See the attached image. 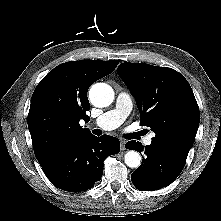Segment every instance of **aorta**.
<instances>
[{"mask_svg": "<svg viewBox=\"0 0 221 221\" xmlns=\"http://www.w3.org/2000/svg\"><path fill=\"white\" fill-rule=\"evenodd\" d=\"M89 99L96 107H107L113 102V89L108 84L96 83L89 91ZM124 161L128 167L138 168L141 164V156L137 151L130 150L125 154Z\"/></svg>", "mask_w": 221, "mask_h": 221, "instance_id": "obj_1", "label": "aorta"}]
</instances>
